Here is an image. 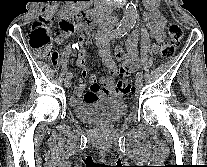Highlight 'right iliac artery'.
Masks as SVG:
<instances>
[{"label": "right iliac artery", "mask_w": 207, "mask_h": 167, "mask_svg": "<svg viewBox=\"0 0 207 167\" xmlns=\"http://www.w3.org/2000/svg\"><path fill=\"white\" fill-rule=\"evenodd\" d=\"M117 34H123L124 35L125 30L118 29L117 31L102 34L101 36L98 37L97 42L104 43V42L110 40L111 38H114V36L117 35ZM71 77H72V74L70 72H67L66 78H71Z\"/></svg>", "instance_id": "obj_1"}]
</instances>
